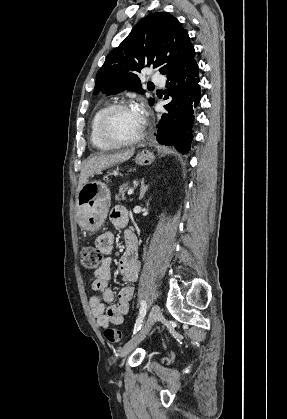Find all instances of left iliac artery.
<instances>
[{
    "mask_svg": "<svg viewBox=\"0 0 287 419\" xmlns=\"http://www.w3.org/2000/svg\"><path fill=\"white\" fill-rule=\"evenodd\" d=\"M146 309H147V304L144 300H142L140 310H139V315H138V318L136 320V324L134 327V332H133L134 334L137 333L141 329V324L146 314Z\"/></svg>",
    "mask_w": 287,
    "mask_h": 419,
    "instance_id": "1",
    "label": "left iliac artery"
}]
</instances>
